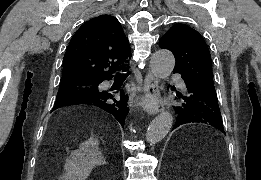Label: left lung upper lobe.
Wrapping results in <instances>:
<instances>
[{
	"mask_svg": "<svg viewBox=\"0 0 261 180\" xmlns=\"http://www.w3.org/2000/svg\"><path fill=\"white\" fill-rule=\"evenodd\" d=\"M159 45L174 54V70L190 75L206 88L215 90L210 52L196 30L184 24H175L160 39Z\"/></svg>",
	"mask_w": 261,
	"mask_h": 180,
	"instance_id": "left-lung-upper-lobe-1",
	"label": "left lung upper lobe"
}]
</instances>
